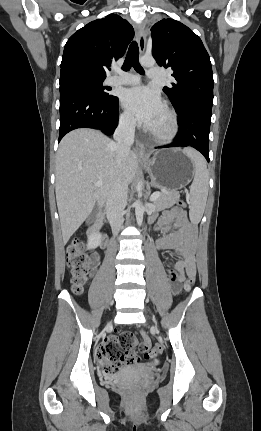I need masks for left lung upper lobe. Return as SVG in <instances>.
<instances>
[{"instance_id":"5c2ea615","label":"left lung upper lobe","mask_w":261,"mask_h":431,"mask_svg":"<svg viewBox=\"0 0 261 431\" xmlns=\"http://www.w3.org/2000/svg\"><path fill=\"white\" fill-rule=\"evenodd\" d=\"M151 31L152 54L157 64L171 68L176 79L163 91L177 113L196 103L213 104V72L201 39L173 19L158 21Z\"/></svg>"}]
</instances>
